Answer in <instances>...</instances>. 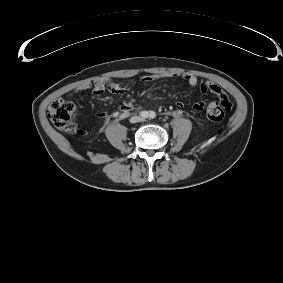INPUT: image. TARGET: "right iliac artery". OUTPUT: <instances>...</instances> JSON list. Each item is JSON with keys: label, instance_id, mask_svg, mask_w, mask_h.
Instances as JSON below:
<instances>
[{"label": "right iliac artery", "instance_id": "82829eb1", "mask_svg": "<svg viewBox=\"0 0 283 283\" xmlns=\"http://www.w3.org/2000/svg\"><path fill=\"white\" fill-rule=\"evenodd\" d=\"M140 116L143 118H147L148 117V112L147 111H141L140 112Z\"/></svg>", "mask_w": 283, "mask_h": 283}]
</instances>
